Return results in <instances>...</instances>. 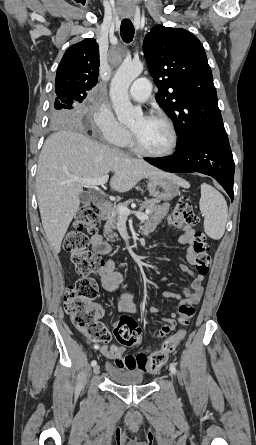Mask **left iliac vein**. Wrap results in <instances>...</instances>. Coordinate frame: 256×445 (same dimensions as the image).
Listing matches in <instances>:
<instances>
[{"label":"left iliac vein","mask_w":256,"mask_h":445,"mask_svg":"<svg viewBox=\"0 0 256 445\" xmlns=\"http://www.w3.org/2000/svg\"><path fill=\"white\" fill-rule=\"evenodd\" d=\"M171 375L174 374L171 370H170Z\"/></svg>","instance_id":"4c4485c4"}]
</instances>
